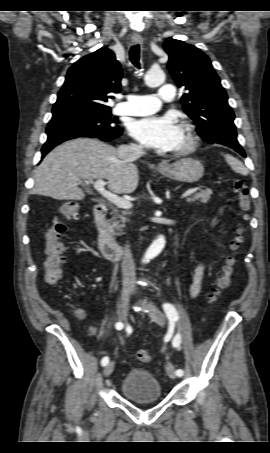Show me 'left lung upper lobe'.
<instances>
[{
    "label": "left lung upper lobe",
    "instance_id": "5c2ea615",
    "mask_svg": "<svg viewBox=\"0 0 270 453\" xmlns=\"http://www.w3.org/2000/svg\"><path fill=\"white\" fill-rule=\"evenodd\" d=\"M163 46L169 55L167 67L173 79L178 87L185 86L187 90L181 102L197 124L198 134L211 144H239L235 115L209 57L195 46L172 38Z\"/></svg>",
    "mask_w": 270,
    "mask_h": 453
}]
</instances>
